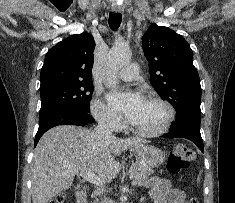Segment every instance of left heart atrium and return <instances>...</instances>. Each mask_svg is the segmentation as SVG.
<instances>
[{"instance_id": "obj_1", "label": "left heart atrium", "mask_w": 235, "mask_h": 203, "mask_svg": "<svg viewBox=\"0 0 235 203\" xmlns=\"http://www.w3.org/2000/svg\"><path fill=\"white\" fill-rule=\"evenodd\" d=\"M108 101L115 110L130 119L137 112L145 99L138 92L114 91L108 95Z\"/></svg>"}]
</instances>
